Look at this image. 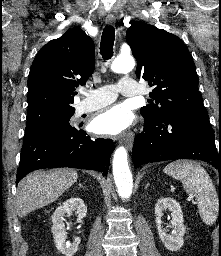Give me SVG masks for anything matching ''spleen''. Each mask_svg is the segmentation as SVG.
Here are the masks:
<instances>
[{
    "instance_id": "3e777b00",
    "label": "spleen",
    "mask_w": 221,
    "mask_h": 256,
    "mask_svg": "<svg viewBox=\"0 0 221 256\" xmlns=\"http://www.w3.org/2000/svg\"><path fill=\"white\" fill-rule=\"evenodd\" d=\"M164 172L183 183L186 193L195 197L203 222L212 225L218 217L219 199L206 170L191 161L177 160L168 164Z\"/></svg>"
}]
</instances>
